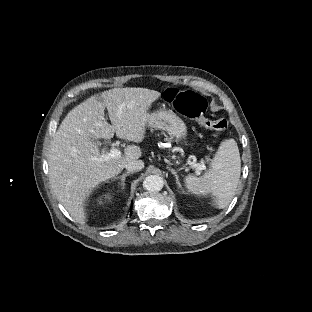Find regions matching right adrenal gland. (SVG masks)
Here are the masks:
<instances>
[{"instance_id": "right-adrenal-gland-1", "label": "right adrenal gland", "mask_w": 312, "mask_h": 312, "mask_svg": "<svg viewBox=\"0 0 312 312\" xmlns=\"http://www.w3.org/2000/svg\"><path fill=\"white\" fill-rule=\"evenodd\" d=\"M129 175H131L130 172H128L127 174H123V175L121 176V178H116L115 181H114V183H116L117 181H120V187L123 189V188H124V181H125V178H126L127 176H129Z\"/></svg>"}]
</instances>
